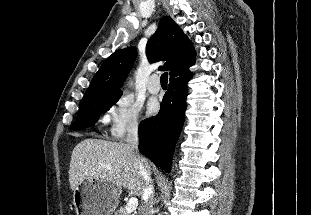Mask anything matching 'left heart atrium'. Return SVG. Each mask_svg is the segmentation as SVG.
Returning <instances> with one entry per match:
<instances>
[{"label": "left heart atrium", "mask_w": 311, "mask_h": 215, "mask_svg": "<svg viewBox=\"0 0 311 215\" xmlns=\"http://www.w3.org/2000/svg\"><path fill=\"white\" fill-rule=\"evenodd\" d=\"M157 110H158V104L156 102L149 103V105H148V113L150 115L156 113Z\"/></svg>", "instance_id": "39dd6f15"}]
</instances>
